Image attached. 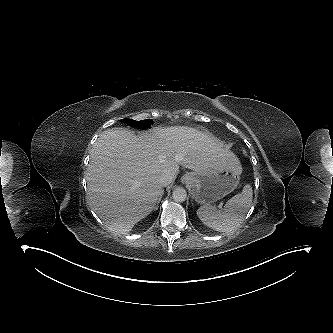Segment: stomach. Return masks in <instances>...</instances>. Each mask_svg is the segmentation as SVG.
<instances>
[{
  "label": "stomach",
  "mask_w": 333,
  "mask_h": 333,
  "mask_svg": "<svg viewBox=\"0 0 333 333\" xmlns=\"http://www.w3.org/2000/svg\"><path fill=\"white\" fill-rule=\"evenodd\" d=\"M241 173L242 168L237 161L230 167L186 173L182 181L189 186L197 203L208 205L231 193L237 187Z\"/></svg>",
  "instance_id": "stomach-1"
}]
</instances>
